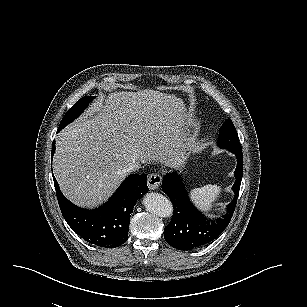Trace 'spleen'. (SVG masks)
<instances>
[{
    "instance_id": "3e777b00",
    "label": "spleen",
    "mask_w": 307,
    "mask_h": 307,
    "mask_svg": "<svg viewBox=\"0 0 307 307\" xmlns=\"http://www.w3.org/2000/svg\"><path fill=\"white\" fill-rule=\"evenodd\" d=\"M223 187L219 184H208L202 188H195L188 192V198L195 210L210 216L219 199L222 197Z\"/></svg>"
}]
</instances>
